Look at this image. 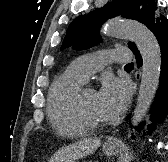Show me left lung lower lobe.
Masks as SVG:
<instances>
[{"label": "left lung lower lobe", "mask_w": 168, "mask_h": 162, "mask_svg": "<svg viewBox=\"0 0 168 162\" xmlns=\"http://www.w3.org/2000/svg\"><path fill=\"white\" fill-rule=\"evenodd\" d=\"M158 40L161 48V74L159 88L157 90L153 105L151 107V120L160 122L164 119L168 110V21L162 16L148 27ZM138 67L142 65V57L138 49H135ZM155 128V124L148 127L149 134ZM134 138V136H133Z\"/></svg>", "instance_id": "left-lung-lower-lobe-1"}]
</instances>
